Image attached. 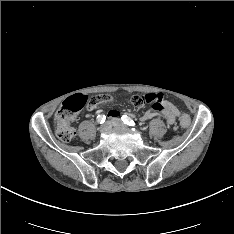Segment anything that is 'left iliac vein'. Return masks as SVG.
I'll use <instances>...</instances> for the list:
<instances>
[{"instance_id": "obj_1", "label": "left iliac vein", "mask_w": 234, "mask_h": 234, "mask_svg": "<svg viewBox=\"0 0 234 234\" xmlns=\"http://www.w3.org/2000/svg\"><path fill=\"white\" fill-rule=\"evenodd\" d=\"M111 124L116 127V128H121V129H125L126 125L118 118H114L111 120Z\"/></svg>"}]
</instances>
